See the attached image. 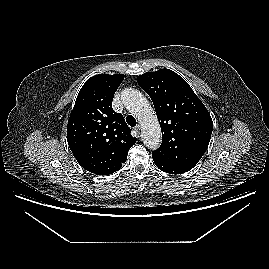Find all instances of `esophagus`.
Listing matches in <instances>:
<instances>
[{"label":"esophagus","mask_w":269,"mask_h":269,"mask_svg":"<svg viewBox=\"0 0 269 269\" xmlns=\"http://www.w3.org/2000/svg\"><path fill=\"white\" fill-rule=\"evenodd\" d=\"M135 130L137 133H140L141 131V126L138 124L136 127H135Z\"/></svg>","instance_id":"1"}]
</instances>
